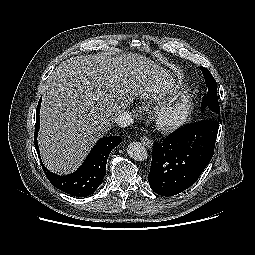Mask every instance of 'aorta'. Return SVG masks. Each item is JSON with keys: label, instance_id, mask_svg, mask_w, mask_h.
<instances>
[{"label": "aorta", "instance_id": "obj_1", "mask_svg": "<svg viewBox=\"0 0 255 255\" xmlns=\"http://www.w3.org/2000/svg\"><path fill=\"white\" fill-rule=\"evenodd\" d=\"M128 155L136 161H144L147 159V150L139 142H131L127 148Z\"/></svg>", "mask_w": 255, "mask_h": 255}]
</instances>
